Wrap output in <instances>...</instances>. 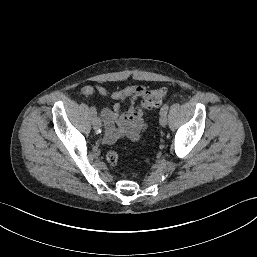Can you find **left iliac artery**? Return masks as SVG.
I'll return each instance as SVG.
<instances>
[{"label":"left iliac artery","mask_w":257,"mask_h":257,"mask_svg":"<svg viewBox=\"0 0 257 257\" xmlns=\"http://www.w3.org/2000/svg\"><path fill=\"white\" fill-rule=\"evenodd\" d=\"M168 109H169V105H168V104H164V105L162 106V108L160 109V115H161V114H167Z\"/></svg>","instance_id":"obj_1"}]
</instances>
